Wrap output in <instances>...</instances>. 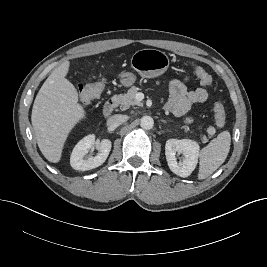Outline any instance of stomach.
<instances>
[{"mask_svg":"<svg viewBox=\"0 0 267 267\" xmlns=\"http://www.w3.org/2000/svg\"><path fill=\"white\" fill-rule=\"evenodd\" d=\"M131 67L143 78H154L165 73L169 67V57L157 49H142L136 51L131 57ZM136 81L132 72H123L120 82L129 87Z\"/></svg>","mask_w":267,"mask_h":267,"instance_id":"stomach-1","label":"stomach"}]
</instances>
